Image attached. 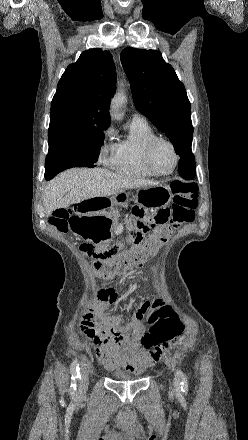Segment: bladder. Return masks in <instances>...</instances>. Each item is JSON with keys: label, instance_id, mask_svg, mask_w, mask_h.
<instances>
[{"label": "bladder", "instance_id": "1", "mask_svg": "<svg viewBox=\"0 0 248 440\" xmlns=\"http://www.w3.org/2000/svg\"><path fill=\"white\" fill-rule=\"evenodd\" d=\"M111 377L116 381H134L140 378V374L126 368L115 369Z\"/></svg>", "mask_w": 248, "mask_h": 440}]
</instances>
